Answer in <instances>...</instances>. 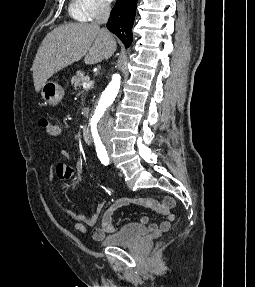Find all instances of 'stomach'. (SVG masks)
I'll list each match as a JSON object with an SVG mask.
<instances>
[{"label": "stomach", "mask_w": 255, "mask_h": 287, "mask_svg": "<svg viewBox=\"0 0 255 287\" xmlns=\"http://www.w3.org/2000/svg\"><path fill=\"white\" fill-rule=\"evenodd\" d=\"M41 96L48 106H57L64 98V90L56 82H45L41 88Z\"/></svg>", "instance_id": "0dacf381"}]
</instances>
